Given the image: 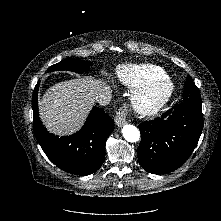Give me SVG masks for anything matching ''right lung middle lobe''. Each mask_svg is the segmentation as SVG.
Listing matches in <instances>:
<instances>
[{
    "label": "right lung middle lobe",
    "instance_id": "obj_1",
    "mask_svg": "<svg viewBox=\"0 0 221 221\" xmlns=\"http://www.w3.org/2000/svg\"><path fill=\"white\" fill-rule=\"evenodd\" d=\"M91 62L83 60H64L60 63L52 65L49 67L48 72L57 70H68L77 73H81L89 70Z\"/></svg>",
    "mask_w": 221,
    "mask_h": 221
}]
</instances>
